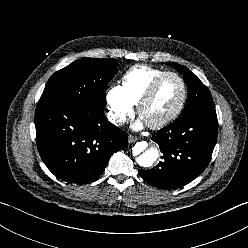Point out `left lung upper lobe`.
Wrapping results in <instances>:
<instances>
[{"mask_svg": "<svg viewBox=\"0 0 248 248\" xmlns=\"http://www.w3.org/2000/svg\"><path fill=\"white\" fill-rule=\"evenodd\" d=\"M167 64L175 68L183 75L184 80L188 86V97L185 108L176 121L184 120L191 116L202 113L214 112L215 107L211 93L208 88L199 80V78L189 69L180 64L174 62H167Z\"/></svg>", "mask_w": 248, "mask_h": 248, "instance_id": "left-lung-upper-lobe-1", "label": "left lung upper lobe"}]
</instances>
